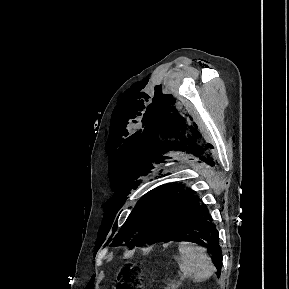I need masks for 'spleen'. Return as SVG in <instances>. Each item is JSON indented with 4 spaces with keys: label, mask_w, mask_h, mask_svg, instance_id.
<instances>
[{
    "label": "spleen",
    "mask_w": 289,
    "mask_h": 289,
    "mask_svg": "<svg viewBox=\"0 0 289 289\" xmlns=\"http://www.w3.org/2000/svg\"><path fill=\"white\" fill-rule=\"evenodd\" d=\"M178 249L180 253L178 266L183 276H192L195 282H203L213 275L215 266L204 248L192 243L180 242Z\"/></svg>",
    "instance_id": "spleen-1"
}]
</instances>
